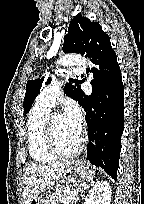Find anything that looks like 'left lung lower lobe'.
<instances>
[{
    "instance_id": "obj_1",
    "label": "left lung lower lobe",
    "mask_w": 144,
    "mask_h": 204,
    "mask_svg": "<svg viewBox=\"0 0 144 204\" xmlns=\"http://www.w3.org/2000/svg\"><path fill=\"white\" fill-rule=\"evenodd\" d=\"M93 93H84L79 104L86 111L88 137L87 159L102 167L117 180L121 152V135L124 129V87L117 59L106 68L91 70ZM92 107L95 112L92 111ZM97 131V132H96ZM95 140V142H94Z\"/></svg>"
}]
</instances>
